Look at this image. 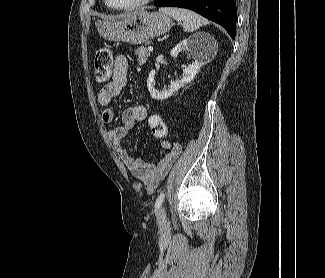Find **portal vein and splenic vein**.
I'll return each instance as SVG.
<instances>
[{"mask_svg":"<svg viewBox=\"0 0 325 278\" xmlns=\"http://www.w3.org/2000/svg\"><path fill=\"white\" fill-rule=\"evenodd\" d=\"M148 50H149V51H153V46H151V45L148 46Z\"/></svg>","mask_w":325,"mask_h":278,"instance_id":"18ae733b","label":"portal vein and splenic vein"}]
</instances>
